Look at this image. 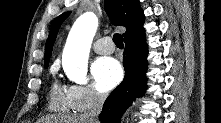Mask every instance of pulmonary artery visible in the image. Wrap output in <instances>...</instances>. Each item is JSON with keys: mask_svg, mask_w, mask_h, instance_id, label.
<instances>
[{"mask_svg": "<svg viewBox=\"0 0 221 123\" xmlns=\"http://www.w3.org/2000/svg\"><path fill=\"white\" fill-rule=\"evenodd\" d=\"M93 49L99 54H110L114 51V45L110 38L104 37L94 42Z\"/></svg>", "mask_w": 221, "mask_h": 123, "instance_id": "1", "label": "pulmonary artery"}]
</instances>
